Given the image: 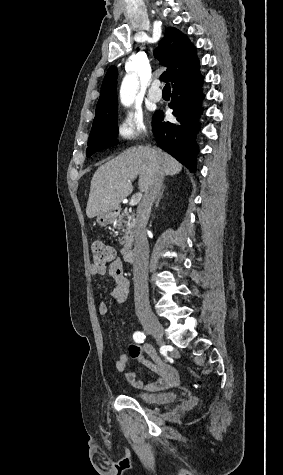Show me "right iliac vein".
<instances>
[{"mask_svg": "<svg viewBox=\"0 0 283 475\" xmlns=\"http://www.w3.org/2000/svg\"><path fill=\"white\" fill-rule=\"evenodd\" d=\"M142 325L155 337H162L164 328L159 319L152 313L146 314L141 318Z\"/></svg>", "mask_w": 283, "mask_h": 475, "instance_id": "63e3f726", "label": "right iliac vein"}]
</instances>
